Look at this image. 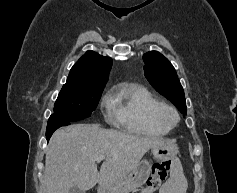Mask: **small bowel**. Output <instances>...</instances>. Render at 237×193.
Returning a JSON list of instances; mask_svg holds the SVG:
<instances>
[{"label": "small bowel", "mask_w": 237, "mask_h": 193, "mask_svg": "<svg viewBox=\"0 0 237 193\" xmlns=\"http://www.w3.org/2000/svg\"><path fill=\"white\" fill-rule=\"evenodd\" d=\"M171 162V177L162 185L159 193H185L187 181L176 159Z\"/></svg>", "instance_id": "obj_1"}]
</instances>
